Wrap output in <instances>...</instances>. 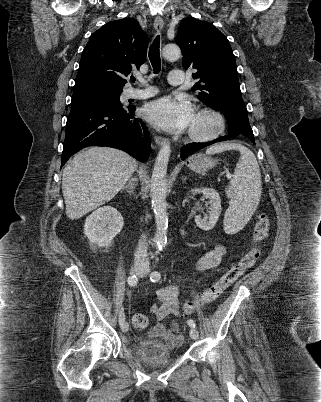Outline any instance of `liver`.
<instances>
[{
	"label": "liver",
	"mask_w": 321,
	"mask_h": 402,
	"mask_svg": "<svg viewBox=\"0 0 321 402\" xmlns=\"http://www.w3.org/2000/svg\"><path fill=\"white\" fill-rule=\"evenodd\" d=\"M137 166L133 157L110 147H90L75 155L62 178L67 217L79 219L110 201Z\"/></svg>",
	"instance_id": "6515ba94"
}]
</instances>
